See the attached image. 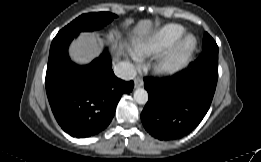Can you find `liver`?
<instances>
[{"instance_id": "6515ba94", "label": "liver", "mask_w": 261, "mask_h": 162, "mask_svg": "<svg viewBox=\"0 0 261 162\" xmlns=\"http://www.w3.org/2000/svg\"><path fill=\"white\" fill-rule=\"evenodd\" d=\"M153 27V23L149 19L140 20L134 27L132 34L133 38L138 40L148 35ZM106 37L112 47L116 49L117 60L123 52V44L119 41V36L109 32ZM104 46L103 40L98 37V34L81 33L79 37L71 44L69 55L77 64H88L92 59L97 57Z\"/></svg>"}]
</instances>
